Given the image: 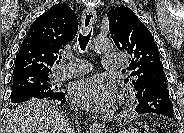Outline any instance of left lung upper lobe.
Returning a JSON list of instances; mask_svg holds the SVG:
<instances>
[{
	"label": "left lung upper lobe",
	"instance_id": "1",
	"mask_svg": "<svg viewBox=\"0 0 184 133\" xmlns=\"http://www.w3.org/2000/svg\"><path fill=\"white\" fill-rule=\"evenodd\" d=\"M107 16L115 45L132 58L127 68L131 78L124 82L129 83L136 93H141L153 83L158 73L165 75L158 47L148 28L127 6L113 8ZM157 97L161 98V94Z\"/></svg>",
	"mask_w": 184,
	"mask_h": 133
}]
</instances>
